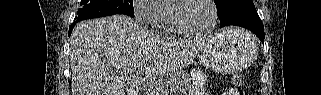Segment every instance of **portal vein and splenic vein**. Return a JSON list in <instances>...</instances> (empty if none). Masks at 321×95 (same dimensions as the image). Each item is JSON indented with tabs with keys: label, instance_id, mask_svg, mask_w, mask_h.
I'll return each instance as SVG.
<instances>
[{
	"label": "portal vein and splenic vein",
	"instance_id": "18ae733b",
	"mask_svg": "<svg viewBox=\"0 0 321 95\" xmlns=\"http://www.w3.org/2000/svg\"><path fill=\"white\" fill-rule=\"evenodd\" d=\"M132 82H134L137 85H146L150 88H156L159 89L161 88V85L164 84V82L162 80H155L152 79L151 77H142V76H138V73H133L130 76Z\"/></svg>",
	"mask_w": 321,
	"mask_h": 95
}]
</instances>
